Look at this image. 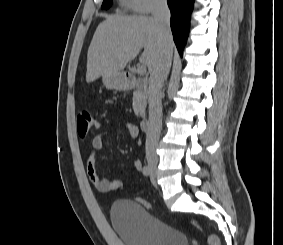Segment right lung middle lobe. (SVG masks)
Segmentation results:
<instances>
[{
	"label": "right lung middle lobe",
	"mask_w": 283,
	"mask_h": 245,
	"mask_svg": "<svg viewBox=\"0 0 283 245\" xmlns=\"http://www.w3.org/2000/svg\"><path fill=\"white\" fill-rule=\"evenodd\" d=\"M112 0H104L102 4L103 9H108L111 6Z\"/></svg>",
	"instance_id": "1"
}]
</instances>
